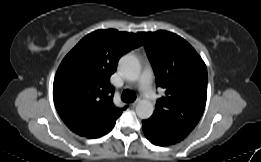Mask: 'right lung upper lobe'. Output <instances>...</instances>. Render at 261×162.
Instances as JSON below:
<instances>
[{"mask_svg": "<svg viewBox=\"0 0 261 162\" xmlns=\"http://www.w3.org/2000/svg\"><path fill=\"white\" fill-rule=\"evenodd\" d=\"M141 45L134 33L97 30L65 56L54 79L53 99L70 130L80 136L98 138L114 127L127 106H114V87L109 79L120 57Z\"/></svg>", "mask_w": 261, "mask_h": 162, "instance_id": "cb5924a9", "label": "right lung upper lobe"}]
</instances>
